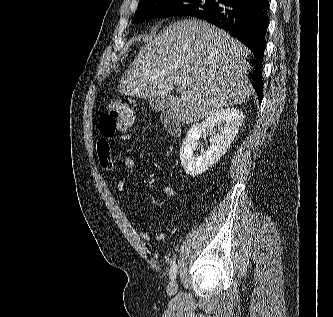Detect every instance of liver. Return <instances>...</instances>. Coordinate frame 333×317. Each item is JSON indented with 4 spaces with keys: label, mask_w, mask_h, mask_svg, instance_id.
Masks as SVG:
<instances>
[{
    "label": "liver",
    "mask_w": 333,
    "mask_h": 317,
    "mask_svg": "<svg viewBox=\"0 0 333 317\" xmlns=\"http://www.w3.org/2000/svg\"><path fill=\"white\" fill-rule=\"evenodd\" d=\"M248 49L228 33L205 21L186 19L170 24L139 51L121 80L119 93L170 100L169 114L182 123L196 122L247 101Z\"/></svg>",
    "instance_id": "1"
}]
</instances>
